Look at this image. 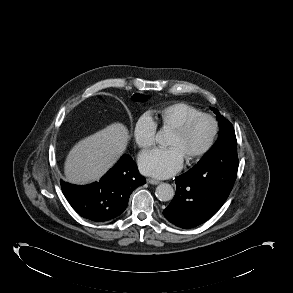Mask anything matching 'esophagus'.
<instances>
[{
    "mask_svg": "<svg viewBox=\"0 0 293 293\" xmlns=\"http://www.w3.org/2000/svg\"><path fill=\"white\" fill-rule=\"evenodd\" d=\"M147 182H148L149 184H152V185H158V184H160V181H158V180H156V179H152V178H148V179H147Z\"/></svg>",
    "mask_w": 293,
    "mask_h": 293,
    "instance_id": "34e87169",
    "label": "esophagus"
}]
</instances>
